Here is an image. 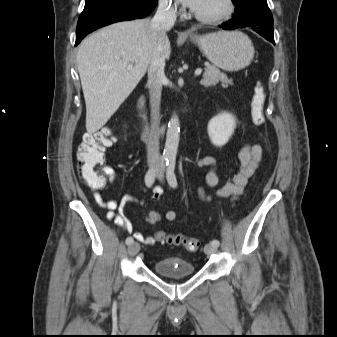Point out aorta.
<instances>
[{
	"label": "aorta",
	"instance_id": "1",
	"mask_svg": "<svg viewBox=\"0 0 337 337\" xmlns=\"http://www.w3.org/2000/svg\"><path fill=\"white\" fill-rule=\"evenodd\" d=\"M180 123L176 115L172 116L166 133V142L164 148L165 157H175L179 145Z\"/></svg>",
	"mask_w": 337,
	"mask_h": 337
}]
</instances>
